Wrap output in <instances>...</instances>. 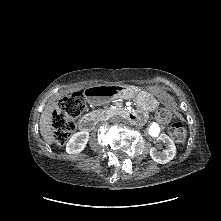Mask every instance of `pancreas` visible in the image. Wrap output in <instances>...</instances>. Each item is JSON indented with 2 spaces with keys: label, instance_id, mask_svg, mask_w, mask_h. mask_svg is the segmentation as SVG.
Instances as JSON below:
<instances>
[{
  "label": "pancreas",
  "instance_id": "cf45deb5",
  "mask_svg": "<svg viewBox=\"0 0 221 221\" xmlns=\"http://www.w3.org/2000/svg\"><path fill=\"white\" fill-rule=\"evenodd\" d=\"M112 114V110H105L103 113V117H109Z\"/></svg>",
  "mask_w": 221,
  "mask_h": 221
}]
</instances>
